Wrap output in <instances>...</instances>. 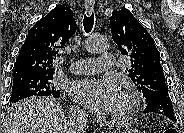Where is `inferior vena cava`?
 Instances as JSON below:
<instances>
[{
	"instance_id": "inferior-vena-cava-1",
	"label": "inferior vena cava",
	"mask_w": 184,
	"mask_h": 133,
	"mask_svg": "<svg viewBox=\"0 0 184 133\" xmlns=\"http://www.w3.org/2000/svg\"><path fill=\"white\" fill-rule=\"evenodd\" d=\"M87 129V113L82 109H72L70 112V123L68 125V133H85Z\"/></svg>"
}]
</instances>
